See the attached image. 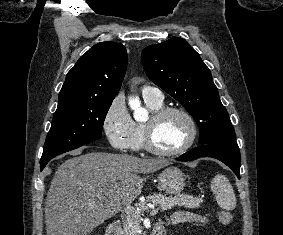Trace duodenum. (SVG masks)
I'll use <instances>...</instances> for the list:
<instances>
[{
	"label": "duodenum",
	"mask_w": 283,
	"mask_h": 235,
	"mask_svg": "<svg viewBox=\"0 0 283 235\" xmlns=\"http://www.w3.org/2000/svg\"><path fill=\"white\" fill-rule=\"evenodd\" d=\"M121 229L120 222H114L109 225L106 235H119ZM150 235H162V226L160 224H157Z\"/></svg>",
	"instance_id": "duodenum-1"
}]
</instances>
